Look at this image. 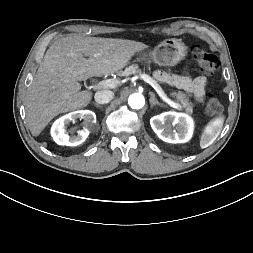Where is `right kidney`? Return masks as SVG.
I'll use <instances>...</instances> for the list:
<instances>
[{
    "mask_svg": "<svg viewBox=\"0 0 253 253\" xmlns=\"http://www.w3.org/2000/svg\"><path fill=\"white\" fill-rule=\"evenodd\" d=\"M83 119V129L77 132V135H69L66 132V126L70 121ZM96 122V115L90 110H79L71 112L57 119L52 128L51 135L54 141L59 145L77 146L83 143L90 133V125Z\"/></svg>",
    "mask_w": 253,
    "mask_h": 253,
    "instance_id": "right-kidney-1",
    "label": "right kidney"
}]
</instances>
